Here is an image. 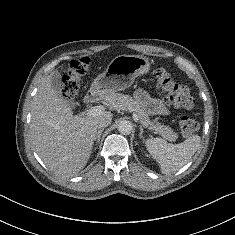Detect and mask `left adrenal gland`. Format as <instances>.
I'll return each instance as SVG.
<instances>
[{
  "mask_svg": "<svg viewBox=\"0 0 235 235\" xmlns=\"http://www.w3.org/2000/svg\"><path fill=\"white\" fill-rule=\"evenodd\" d=\"M139 128H140L139 136H140V138H143V133H144L143 128L141 125H139Z\"/></svg>",
  "mask_w": 235,
  "mask_h": 235,
  "instance_id": "a2214340",
  "label": "left adrenal gland"
}]
</instances>
